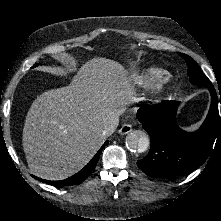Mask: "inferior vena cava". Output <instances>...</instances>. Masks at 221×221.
<instances>
[{
	"label": "inferior vena cava",
	"instance_id": "1",
	"mask_svg": "<svg viewBox=\"0 0 221 221\" xmlns=\"http://www.w3.org/2000/svg\"><path fill=\"white\" fill-rule=\"evenodd\" d=\"M117 125H118V120H117V118L111 119V120L108 122V124H106V125L104 126V129L102 130L101 135H102L103 137H107V136L113 134L114 131H115V129H116V127H117Z\"/></svg>",
	"mask_w": 221,
	"mask_h": 221
}]
</instances>
